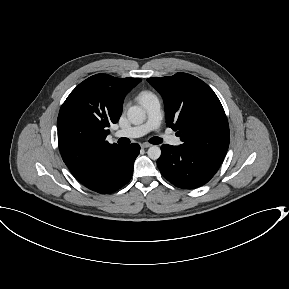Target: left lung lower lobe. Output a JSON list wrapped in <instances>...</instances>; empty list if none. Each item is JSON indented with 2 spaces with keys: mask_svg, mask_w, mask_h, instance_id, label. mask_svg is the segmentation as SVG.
Masks as SVG:
<instances>
[{
  "mask_svg": "<svg viewBox=\"0 0 289 289\" xmlns=\"http://www.w3.org/2000/svg\"><path fill=\"white\" fill-rule=\"evenodd\" d=\"M157 166L173 185L193 189L207 183L219 169L223 159L188 147L162 145Z\"/></svg>",
  "mask_w": 289,
  "mask_h": 289,
  "instance_id": "left-lung-lower-lobe-1",
  "label": "left lung lower lobe"
}]
</instances>
